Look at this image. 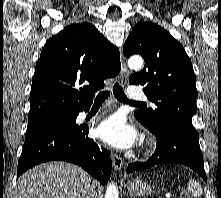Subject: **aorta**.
<instances>
[{
  "instance_id": "762f6f07",
  "label": "aorta",
  "mask_w": 221,
  "mask_h": 198,
  "mask_svg": "<svg viewBox=\"0 0 221 198\" xmlns=\"http://www.w3.org/2000/svg\"><path fill=\"white\" fill-rule=\"evenodd\" d=\"M131 69L137 70L143 66V60L139 56H133L128 60ZM105 198H118V189L114 183L107 187Z\"/></svg>"
}]
</instances>
